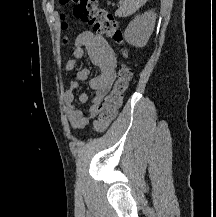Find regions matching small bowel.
Here are the masks:
<instances>
[{
  "instance_id": "1",
  "label": "small bowel",
  "mask_w": 216,
  "mask_h": 217,
  "mask_svg": "<svg viewBox=\"0 0 216 217\" xmlns=\"http://www.w3.org/2000/svg\"><path fill=\"white\" fill-rule=\"evenodd\" d=\"M85 56L98 68L99 74L90 78L88 68L80 69L76 77L70 82L69 88L63 93L66 117L74 130L84 129L96 118L99 105L109 93L115 79L117 62L115 53L100 34L90 29L83 31L76 38L72 58L65 65L66 71H73L76 62L82 60ZM86 80H88L90 88L94 91L92 105L87 114L79 107V105L88 101L86 93H80L77 104L74 103V91L78 89L81 82Z\"/></svg>"
}]
</instances>
